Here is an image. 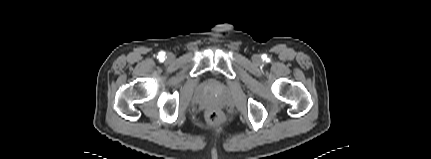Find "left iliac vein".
Wrapping results in <instances>:
<instances>
[{
	"label": "left iliac vein",
	"instance_id": "4c4485c4",
	"mask_svg": "<svg viewBox=\"0 0 431 159\" xmlns=\"http://www.w3.org/2000/svg\"><path fill=\"white\" fill-rule=\"evenodd\" d=\"M257 58H258V57H257V56H255V57H254V60H257Z\"/></svg>",
	"mask_w": 431,
	"mask_h": 159
}]
</instances>
